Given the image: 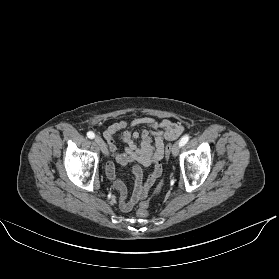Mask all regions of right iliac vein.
<instances>
[{"mask_svg": "<svg viewBox=\"0 0 279 279\" xmlns=\"http://www.w3.org/2000/svg\"><path fill=\"white\" fill-rule=\"evenodd\" d=\"M95 141L96 143L99 145L102 153L105 155V156H108L109 155V152H108V149H107V145L106 143L104 142V140L101 138V137H96L95 138Z\"/></svg>", "mask_w": 279, "mask_h": 279, "instance_id": "right-iliac-vein-1", "label": "right iliac vein"}]
</instances>
